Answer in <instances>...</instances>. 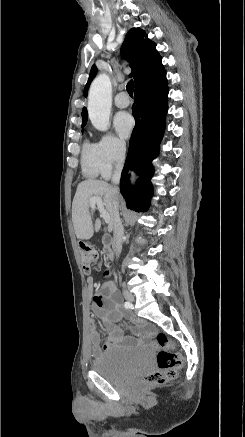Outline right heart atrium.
<instances>
[{
  "label": "right heart atrium",
  "instance_id": "d8ad5b80",
  "mask_svg": "<svg viewBox=\"0 0 245 437\" xmlns=\"http://www.w3.org/2000/svg\"><path fill=\"white\" fill-rule=\"evenodd\" d=\"M101 174L109 176L113 169L120 166L125 158L124 141L111 133L102 134L95 144Z\"/></svg>",
  "mask_w": 245,
  "mask_h": 437
}]
</instances>
